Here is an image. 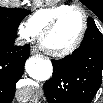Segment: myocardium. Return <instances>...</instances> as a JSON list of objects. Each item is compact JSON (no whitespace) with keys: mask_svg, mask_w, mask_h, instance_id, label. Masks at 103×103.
<instances>
[{"mask_svg":"<svg viewBox=\"0 0 103 103\" xmlns=\"http://www.w3.org/2000/svg\"><path fill=\"white\" fill-rule=\"evenodd\" d=\"M74 11H78L83 15V28L82 31L80 33V35L78 36V38L76 39V41L70 45L69 47L63 49V50H53L48 48L45 45V39L48 36V34H50L56 27L57 25L60 23V21L65 18L68 14L74 12ZM88 26H89V22H88V15L86 13V11L78 6H71L68 9L62 11L61 13H59L58 15H56L42 30V32L40 33L39 36V43H40V47L49 55L54 56V57H65L68 56L70 54H72L73 52H75L80 45L82 44L86 34H87V30H88Z\"/></svg>","mask_w":103,"mask_h":103,"instance_id":"myocardium-1","label":"myocardium"}]
</instances>
